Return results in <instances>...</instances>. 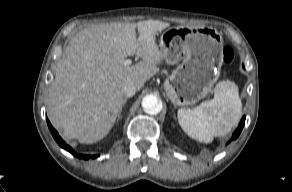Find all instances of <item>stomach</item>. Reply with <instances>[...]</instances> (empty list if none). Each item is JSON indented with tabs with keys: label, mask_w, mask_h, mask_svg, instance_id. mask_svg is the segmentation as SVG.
Masks as SVG:
<instances>
[{
	"label": "stomach",
	"mask_w": 292,
	"mask_h": 192,
	"mask_svg": "<svg viewBox=\"0 0 292 192\" xmlns=\"http://www.w3.org/2000/svg\"><path fill=\"white\" fill-rule=\"evenodd\" d=\"M159 48L167 63L181 62L164 83L174 105H194L212 91L223 63V41L216 30L171 27L162 33Z\"/></svg>",
	"instance_id": "obj_1"
}]
</instances>
